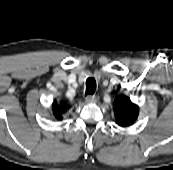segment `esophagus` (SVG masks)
Returning a JSON list of instances; mask_svg holds the SVG:
<instances>
[{
    "instance_id": "obj_1",
    "label": "esophagus",
    "mask_w": 173,
    "mask_h": 170,
    "mask_svg": "<svg viewBox=\"0 0 173 170\" xmlns=\"http://www.w3.org/2000/svg\"><path fill=\"white\" fill-rule=\"evenodd\" d=\"M99 101V96L98 95H88L85 98L86 103H96Z\"/></svg>"
}]
</instances>
